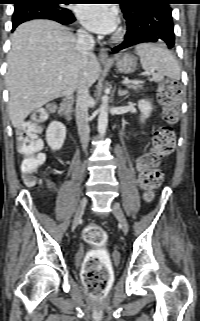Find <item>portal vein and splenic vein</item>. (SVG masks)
I'll list each match as a JSON object with an SVG mask.
<instances>
[{
  "mask_svg": "<svg viewBox=\"0 0 200 321\" xmlns=\"http://www.w3.org/2000/svg\"><path fill=\"white\" fill-rule=\"evenodd\" d=\"M153 73V71H151V72H149V73H147V74H143V75H150V74H152ZM63 79V77L62 76H59L58 77V80H62ZM122 83L123 84H138L139 83V81L138 80H129V79H126V80H124V81H122Z\"/></svg>",
  "mask_w": 200,
  "mask_h": 321,
  "instance_id": "1",
  "label": "portal vein and splenic vein"
}]
</instances>
